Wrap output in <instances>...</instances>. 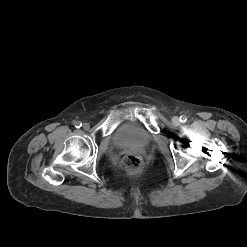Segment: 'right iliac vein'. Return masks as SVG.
I'll return each mask as SVG.
<instances>
[{"label":"right iliac vein","instance_id":"1","mask_svg":"<svg viewBox=\"0 0 247 247\" xmlns=\"http://www.w3.org/2000/svg\"><path fill=\"white\" fill-rule=\"evenodd\" d=\"M83 128H84L85 130H89V128H90L89 123H84V124H83Z\"/></svg>","mask_w":247,"mask_h":247}]
</instances>
